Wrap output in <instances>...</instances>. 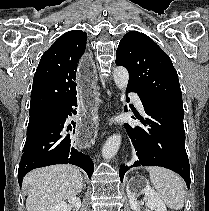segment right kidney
I'll return each instance as SVG.
<instances>
[{
  "mask_svg": "<svg viewBox=\"0 0 209 211\" xmlns=\"http://www.w3.org/2000/svg\"><path fill=\"white\" fill-rule=\"evenodd\" d=\"M68 202L75 207L76 211L81 207V200L79 197L72 196L68 198ZM50 211H68V205L66 202L62 201L55 205Z\"/></svg>",
  "mask_w": 209,
  "mask_h": 211,
  "instance_id": "right-kidney-1",
  "label": "right kidney"
}]
</instances>
